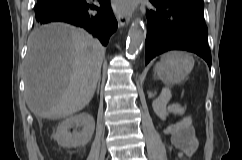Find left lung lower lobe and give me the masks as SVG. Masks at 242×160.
I'll return each instance as SVG.
<instances>
[{"instance_id": "left-lung-lower-lobe-1", "label": "left lung lower lobe", "mask_w": 242, "mask_h": 160, "mask_svg": "<svg viewBox=\"0 0 242 160\" xmlns=\"http://www.w3.org/2000/svg\"><path fill=\"white\" fill-rule=\"evenodd\" d=\"M150 2L145 63L169 50H186L202 57L211 68L203 8L179 0Z\"/></svg>"}]
</instances>
